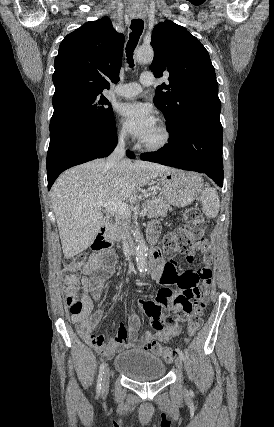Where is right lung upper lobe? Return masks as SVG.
I'll return each instance as SVG.
<instances>
[{
    "instance_id": "cb5924a9",
    "label": "right lung upper lobe",
    "mask_w": 274,
    "mask_h": 427,
    "mask_svg": "<svg viewBox=\"0 0 274 427\" xmlns=\"http://www.w3.org/2000/svg\"><path fill=\"white\" fill-rule=\"evenodd\" d=\"M124 35L108 17L90 21L68 34L55 58L53 102L66 94H95L117 83Z\"/></svg>"
}]
</instances>
